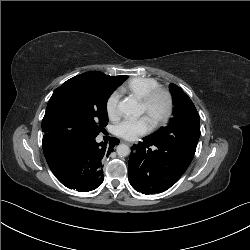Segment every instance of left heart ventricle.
I'll return each instance as SVG.
<instances>
[{"mask_svg":"<svg viewBox=\"0 0 250 250\" xmlns=\"http://www.w3.org/2000/svg\"><path fill=\"white\" fill-rule=\"evenodd\" d=\"M164 110H165V100L163 97H158L151 107L150 115H148L150 120L153 117H157L163 114ZM142 111L145 112L143 106H142Z\"/></svg>","mask_w":250,"mask_h":250,"instance_id":"obj_1","label":"left heart ventricle"}]
</instances>
